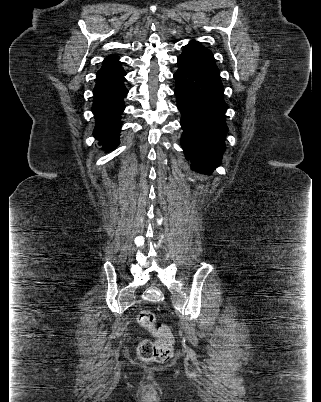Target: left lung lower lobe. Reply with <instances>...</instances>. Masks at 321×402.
<instances>
[{
	"label": "left lung lower lobe",
	"instance_id": "1",
	"mask_svg": "<svg viewBox=\"0 0 321 402\" xmlns=\"http://www.w3.org/2000/svg\"><path fill=\"white\" fill-rule=\"evenodd\" d=\"M175 95L181 112V145L193 169H214L225 151L227 105L213 54L191 41L177 59Z\"/></svg>",
	"mask_w": 321,
	"mask_h": 402
}]
</instances>
